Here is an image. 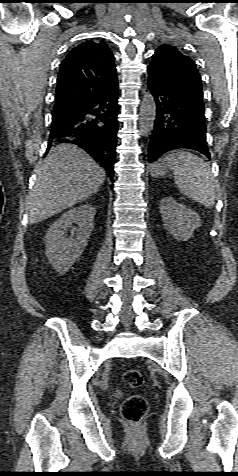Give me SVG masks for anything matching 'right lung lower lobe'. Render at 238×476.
Returning a JSON list of instances; mask_svg holds the SVG:
<instances>
[{"instance_id": "obj_1", "label": "right lung lower lobe", "mask_w": 238, "mask_h": 476, "mask_svg": "<svg viewBox=\"0 0 238 476\" xmlns=\"http://www.w3.org/2000/svg\"><path fill=\"white\" fill-rule=\"evenodd\" d=\"M118 85L64 119L52 120L48 143H73L88 152L113 178L118 131Z\"/></svg>"}]
</instances>
